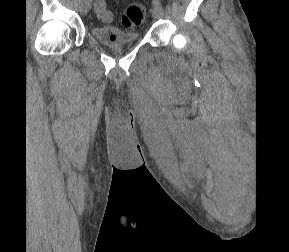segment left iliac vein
I'll return each mask as SVG.
<instances>
[{
    "instance_id": "obj_1",
    "label": "left iliac vein",
    "mask_w": 289,
    "mask_h": 252,
    "mask_svg": "<svg viewBox=\"0 0 289 252\" xmlns=\"http://www.w3.org/2000/svg\"><path fill=\"white\" fill-rule=\"evenodd\" d=\"M154 19H159L163 15V9L160 6H154L151 10Z\"/></svg>"
}]
</instances>
